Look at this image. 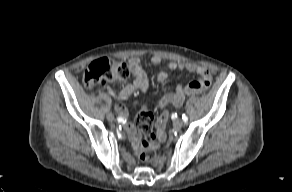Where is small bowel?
Returning <instances> with one entry per match:
<instances>
[{"label": "small bowel", "instance_id": "obj_1", "mask_svg": "<svg viewBox=\"0 0 292 192\" xmlns=\"http://www.w3.org/2000/svg\"><path fill=\"white\" fill-rule=\"evenodd\" d=\"M153 64H159L161 62V58L159 56H153L151 59ZM127 66L130 70V73L134 77L133 82L124 86L120 92H116L113 89H109V92L116 98L118 101L117 109L122 117H126V110L123 106V102L134 92L142 91L145 92L149 87L148 75L149 72L143 68L142 61L138 57H131ZM170 70H186L189 72H194L198 75L197 80L192 81L188 84V86L183 89L182 87H178L175 93H170L159 99L155 106L158 108L165 107L167 105L180 106L184 102L186 94L191 93H200L204 89H207L211 84V74L209 70L204 67L193 63H179L175 61H171L168 64ZM157 78L160 82H165L168 78V74L164 71L158 73ZM171 112L168 109L163 110L161 116L159 117V122L157 124L158 132L154 133L152 139L156 142V146L161 148L163 146L162 141L167 140V125L170 120ZM125 131L127 132L130 141L132 142L135 150L137 152L140 151L142 147V142L144 137L143 131L140 128H137L134 124L127 121L123 124ZM152 133V127L150 129Z\"/></svg>", "mask_w": 292, "mask_h": 192}]
</instances>
